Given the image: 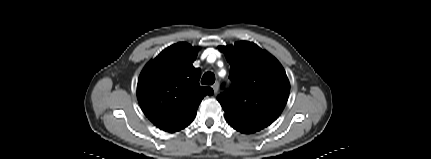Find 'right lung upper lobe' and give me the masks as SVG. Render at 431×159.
<instances>
[{
  "mask_svg": "<svg viewBox=\"0 0 431 159\" xmlns=\"http://www.w3.org/2000/svg\"><path fill=\"white\" fill-rule=\"evenodd\" d=\"M198 49L181 42L169 46L142 70L137 98L144 114L160 129L176 132L187 127L205 95L213 94L199 84L201 70L192 63Z\"/></svg>",
  "mask_w": 431,
  "mask_h": 159,
  "instance_id": "right-lung-upper-lobe-1",
  "label": "right lung upper lobe"
}]
</instances>
